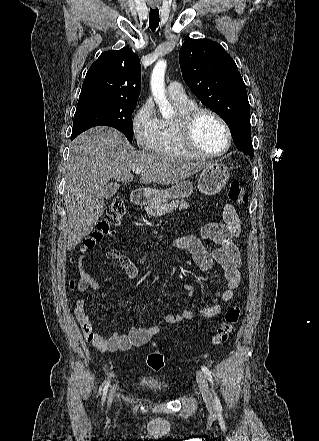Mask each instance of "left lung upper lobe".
<instances>
[{
  "instance_id": "1",
  "label": "left lung upper lobe",
  "mask_w": 319,
  "mask_h": 441,
  "mask_svg": "<svg viewBox=\"0 0 319 441\" xmlns=\"http://www.w3.org/2000/svg\"><path fill=\"white\" fill-rule=\"evenodd\" d=\"M179 62L193 93L227 123L237 148L253 157L246 87L232 57L217 42L188 39Z\"/></svg>"
}]
</instances>
